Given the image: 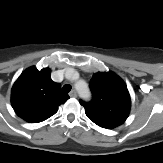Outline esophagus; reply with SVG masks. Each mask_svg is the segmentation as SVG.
I'll use <instances>...</instances> for the list:
<instances>
[{
	"label": "esophagus",
	"mask_w": 163,
	"mask_h": 163,
	"mask_svg": "<svg viewBox=\"0 0 163 163\" xmlns=\"http://www.w3.org/2000/svg\"><path fill=\"white\" fill-rule=\"evenodd\" d=\"M69 96L72 97V98H76L77 97V93L75 90H72L70 93H69Z\"/></svg>",
	"instance_id": "34e87169"
}]
</instances>
